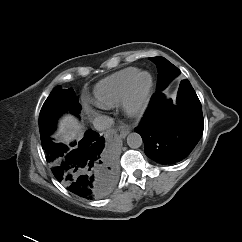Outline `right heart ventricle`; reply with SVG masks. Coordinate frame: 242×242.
<instances>
[{"label":"right heart ventricle","instance_id":"right-heart-ventricle-1","mask_svg":"<svg viewBox=\"0 0 242 242\" xmlns=\"http://www.w3.org/2000/svg\"><path fill=\"white\" fill-rule=\"evenodd\" d=\"M138 71L135 67L125 68L99 81L93 90L95 103L101 108L120 104L129 82Z\"/></svg>","mask_w":242,"mask_h":242}]
</instances>
